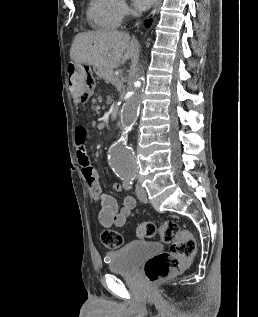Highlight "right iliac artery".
I'll list each match as a JSON object with an SVG mask.
<instances>
[{
    "label": "right iliac artery",
    "mask_w": 258,
    "mask_h": 317,
    "mask_svg": "<svg viewBox=\"0 0 258 317\" xmlns=\"http://www.w3.org/2000/svg\"><path fill=\"white\" fill-rule=\"evenodd\" d=\"M123 187L126 189V190H130L131 187H132V182H131V178H123Z\"/></svg>",
    "instance_id": "1"
}]
</instances>
